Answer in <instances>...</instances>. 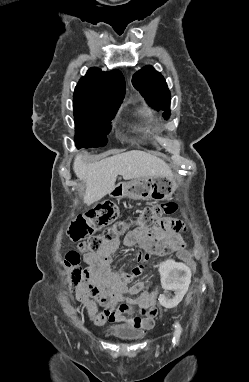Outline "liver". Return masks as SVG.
Wrapping results in <instances>:
<instances>
[{"label": "liver", "mask_w": 249, "mask_h": 382, "mask_svg": "<svg viewBox=\"0 0 249 382\" xmlns=\"http://www.w3.org/2000/svg\"><path fill=\"white\" fill-rule=\"evenodd\" d=\"M73 169L77 177L86 183L84 202L88 204L111 193L118 175L124 180L146 176L174 177L172 170L162 159L140 150L127 151L93 163L84 162L82 154H78Z\"/></svg>", "instance_id": "obj_1"}]
</instances>
